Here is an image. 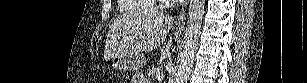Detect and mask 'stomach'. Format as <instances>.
I'll return each instance as SVG.
<instances>
[{
  "label": "stomach",
  "instance_id": "obj_1",
  "mask_svg": "<svg viewBox=\"0 0 307 83\" xmlns=\"http://www.w3.org/2000/svg\"><path fill=\"white\" fill-rule=\"evenodd\" d=\"M145 62V58L139 54L117 55L112 58L113 68L121 72L137 70L143 67Z\"/></svg>",
  "mask_w": 307,
  "mask_h": 83
}]
</instances>
